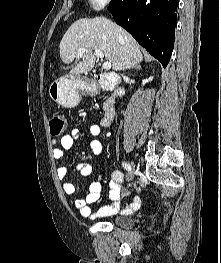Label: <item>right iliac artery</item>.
I'll use <instances>...</instances> for the list:
<instances>
[{"instance_id":"obj_1","label":"right iliac artery","mask_w":221,"mask_h":263,"mask_svg":"<svg viewBox=\"0 0 221 263\" xmlns=\"http://www.w3.org/2000/svg\"><path fill=\"white\" fill-rule=\"evenodd\" d=\"M122 166H123L126 170H128V171L131 170V166H130V164L127 163V162H122Z\"/></svg>"}]
</instances>
